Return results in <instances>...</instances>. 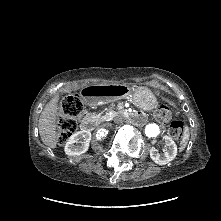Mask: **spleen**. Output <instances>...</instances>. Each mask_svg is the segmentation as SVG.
I'll use <instances>...</instances> for the list:
<instances>
[{
    "label": "spleen",
    "instance_id": "1",
    "mask_svg": "<svg viewBox=\"0 0 221 221\" xmlns=\"http://www.w3.org/2000/svg\"><path fill=\"white\" fill-rule=\"evenodd\" d=\"M189 134L185 133L184 138H183V143H186L188 140Z\"/></svg>",
    "mask_w": 221,
    "mask_h": 221
}]
</instances>
